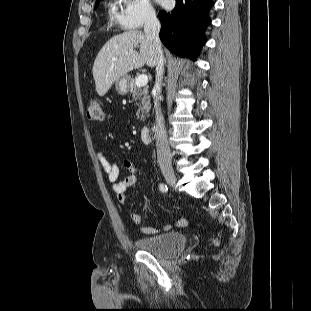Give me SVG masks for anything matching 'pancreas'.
<instances>
[{
	"instance_id": "pancreas-1",
	"label": "pancreas",
	"mask_w": 311,
	"mask_h": 311,
	"mask_svg": "<svg viewBox=\"0 0 311 311\" xmlns=\"http://www.w3.org/2000/svg\"><path fill=\"white\" fill-rule=\"evenodd\" d=\"M129 92L135 101H139V109L136 113L137 118L144 120L145 114L150 110V96L148 95V87H138L134 79H130Z\"/></svg>"
}]
</instances>
